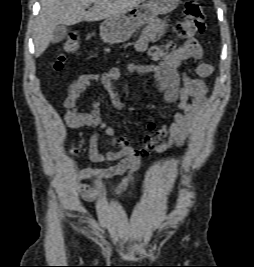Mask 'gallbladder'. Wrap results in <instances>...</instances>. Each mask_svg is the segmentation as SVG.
<instances>
[{
  "label": "gallbladder",
  "mask_w": 254,
  "mask_h": 267,
  "mask_svg": "<svg viewBox=\"0 0 254 267\" xmlns=\"http://www.w3.org/2000/svg\"><path fill=\"white\" fill-rule=\"evenodd\" d=\"M67 35V27L64 25H58L54 30L51 38V43L55 44L62 41Z\"/></svg>",
  "instance_id": "gallbladder-1"
}]
</instances>
